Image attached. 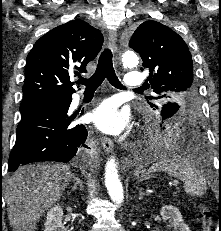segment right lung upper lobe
I'll return each mask as SVG.
<instances>
[{
  "mask_svg": "<svg viewBox=\"0 0 221 231\" xmlns=\"http://www.w3.org/2000/svg\"><path fill=\"white\" fill-rule=\"evenodd\" d=\"M102 44L101 32L80 19L46 33L27 56L23 100L71 96L75 89L70 77L86 72Z\"/></svg>",
  "mask_w": 221,
  "mask_h": 231,
  "instance_id": "1",
  "label": "right lung upper lobe"
}]
</instances>
